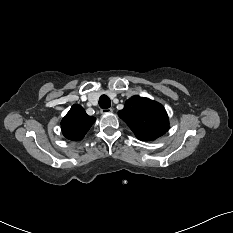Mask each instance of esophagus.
<instances>
[{
	"label": "esophagus",
	"mask_w": 233,
	"mask_h": 233,
	"mask_svg": "<svg viewBox=\"0 0 233 233\" xmlns=\"http://www.w3.org/2000/svg\"><path fill=\"white\" fill-rule=\"evenodd\" d=\"M113 112L112 108H108V109H101V113L102 114H110Z\"/></svg>",
	"instance_id": "esophagus-1"
}]
</instances>
